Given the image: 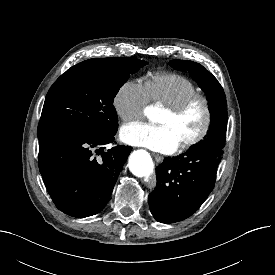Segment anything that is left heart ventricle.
Returning a JSON list of instances; mask_svg holds the SVG:
<instances>
[{
    "mask_svg": "<svg viewBox=\"0 0 275 275\" xmlns=\"http://www.w3.org/2000/svg\"><path fill=\"white\" fill-rule=\"evenodd\" d=\"M204 122V108L199 101L193 103L180 115H172L163 110L157 118V123L168 126L179 144L193 137L202 127Z\"/></svg>",
    "mask_w": 275,
    "mask_h": 275,
    "instance_id": "left-heart-ventricle-1",
    "label": "left heart ventricle"
}]
</instances>
